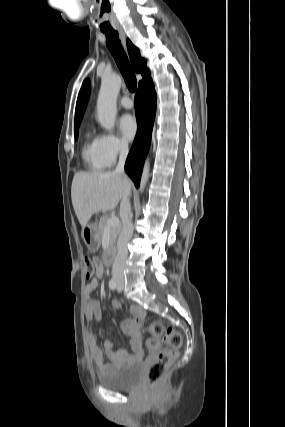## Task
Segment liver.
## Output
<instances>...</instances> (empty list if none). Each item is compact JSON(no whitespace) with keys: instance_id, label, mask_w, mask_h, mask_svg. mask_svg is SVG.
Listing matches in <instances>:
<instances>
[{"instance_id":"1","label":"liver","mask_w":285,"mask_h":427,"mask_svg":"<svg viewBox=\"0 0 285 427\" xmlns=\"http://www.w3.org/2000/svg\"><path fill=\"white\" fill-rule=\"evenodd\" d=\"M130 181L115 172H78L71 186L75 214L84 228L91 216L99 211L116 208Z\"/></svg>"}]
</instances>
